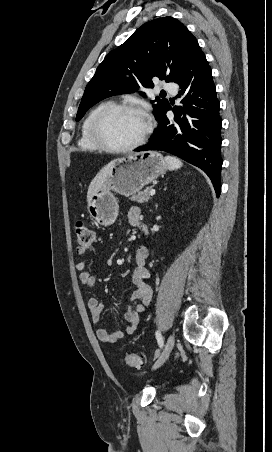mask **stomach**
Wrapping results in <instances>:
<instances>
[{"instance_id": "stomach-1", "label": "stomach", "mask_w": 272, "mask_h": 452, "mask_svg": "<svg viewBox=\"0 0 272 452\" xmlns=\"http://www.w3.org/2000/svg\"><path fill=\"white\" fill-rule=\"evenodd\" d=\"M167 170L163 156L154 151L134 152L112 164L102 187L90 198L88 212L102 226L112 225L119 212L113 192L130 196L139 192Z\"/></svg>"}]
</instances>
